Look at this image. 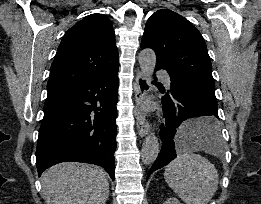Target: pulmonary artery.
I'll return each instance as SVG.
<instances>
[{
  "label": "pulmonary artery",
  "instance_id": "pulmonary-artery-1",
  "mask_svg": "<svg viewBox=\"0 0 261 204\" xmlns=\"http://www.w3.org/2000/svg\"><path fill=\"white\" fill-rule=\"evenodd\" d=\"M157 76L159 78H161L168 87H170L171 79H170V76L166 72L158 71Z\"/></svg>",
  "mask_w": 261,
  "mask_h": 204
}]
</instances>
